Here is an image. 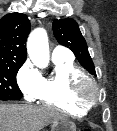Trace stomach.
I'll list each match as a JSON object with an SVG mask.
<instances>
[{
	"label": "stomach",
	"instance_id": "0dacf381",
	"mask_svg": "<svg viewBox=\"0 0 117 131\" xmlns=\"http://www.w3.org/2000/svg\"><path fill=\"white\" fill-rule=\"evenodd\" d=\"M51 131H76V125L68 119H59L52 122Z\"/></svg>",
	"mask_w": 117,
	"mask_h": 131
}]
</instances>
